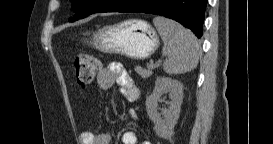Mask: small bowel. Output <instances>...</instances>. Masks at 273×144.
I'll use <instances>...</instances> for the list:
<instances>
[{
  "mask_svg": "<svg viewBox=\"0 0 273 144\" xmlns=\"http://www.w3.org/2000/svg\"><path fill=\"white\" fill-rule=\"evenodd\" d=\"M115 84L120 87V90L124 98L133 102L139 98L140 92L135 86L133 79L128 72L119 64H110L103 68L98 76V85L102 90H110ZM132 119H136V115L133 111L130 112ZM111 137L106 132L93 133L91 131H85L80 134L81 144H109ZM123 144H137L138 137L136 133L132 131H126L122 135ZM149 144V142H144Z\"/></svg>",
  "mask_w": 273,
  "mask_h": 144,
  "instance_id": "1",
  "label": "small bowel"
}]
</instances>
